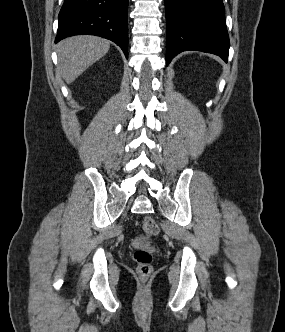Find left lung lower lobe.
Wrapping results in <instances>:
<instances>
[{"label":"left lung lower lobe","mask_w":285,"mask_h":332,"mask_svg":"<svg viewBox=\"0 0 285 332\" xmlns=\"http://www.w3.org/2000/svg\"><path fill=\"white\" fill-rule=\"evenodd\" d=\"M167 65L180 52L198 50L227 62L229 37L222 0H165Z\"/></svg>","instance_id":"1"}]
</instances>
